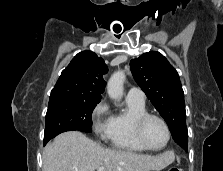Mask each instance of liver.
<instances>
[{"mask_svg":"<svg viewBox=\"0 0 223 171\" xmlns=\"http://www.w3.org/2000/svg\"><path fill=\"white\" fill-rule=\"evenodd\" d=\"M175 159L172 152L159 156L113 150L100 146L78 131L58 135L43 151V171H160Z\"/></svg>","mask_w":223,"mask_h":171,"instance_id":"1","label":"liver"}]
</instances>
